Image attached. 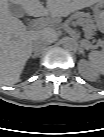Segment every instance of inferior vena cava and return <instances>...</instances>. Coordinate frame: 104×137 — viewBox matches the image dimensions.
I'll use <instances>...</instances> for the list:
<instances>
[{
  "instance_id": "1",
  "label": "inferior vena cava",
  "mask_w": 104,
  "mask_h": 137,
  "mask_svg": "<svg viewBox=\"0 0 104 137\" xmlns=\"http://www.w3.org/2000/svg\"><path fill=\"white\" fill-rule=\"evenodd\" d=\"M47 44H48L47 40L44 38H41L33 43V51L39 54V52L45 49Z\"/></svg>"
}]
</instances>
